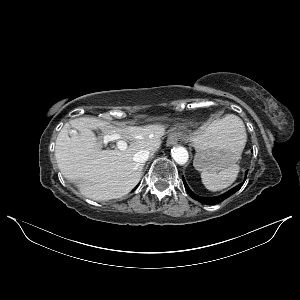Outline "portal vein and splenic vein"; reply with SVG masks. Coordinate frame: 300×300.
<instances>
[{
    "label": "portal vein and splenic vein",
    "mask_w": 300,
    "mask_h": 300,
    "mask_svg": "<svg viewBox=\"0 0 300 300\" xmlns=\"http://www.w3.org/2000/svg\"><path fill=\"white\" fill-rule=\"evenodd\" d=\"M116 139H120V136L115 134L110 137V140H116ZM117 148L120 150H124L127 148V143L123 140H119L117 142Z\"/></svg>",
    "instance_id": "portal-vein-and-splenic-vein-1"
}]
</instances>
